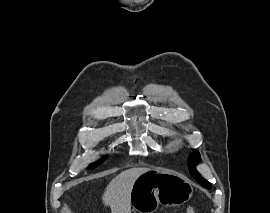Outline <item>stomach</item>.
<instances>
[{
	"label": "stomach",
	"mask_w": 270,
	"mask_h": 213,
	"mask_svg": "<svg viewBox=\"0 0 270 213\" xmlns=\"http://www.w3.org/2000/svg\"><path fill=\"white\" fill-rule=\"evenodd\" d=\"M192 194V184L186 177L171 170L153 168L134 181L130 202L139 213H154L159 205H182Z\"/></svg>",
	"instance_id": "1"
}]
</instances>
